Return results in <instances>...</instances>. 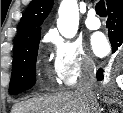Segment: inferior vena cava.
Wrapping results in <instances>:
<instances>
[{"mask_svg":"<svg viewBox=\"0 0 123 113\" xmlns=\"http://www.w3.org/2000/svg\"><path fill=\"white\" fill-rule=\"evenodd\" d=\"M96 69L95 65L89 62L83 69L78 83L76 85L75 92L81 96L90 111L88 113H97V101L93 92V86L95 83Z\"/></svg>","mask_w":123,"mask_h":113,"instance_id":"obj_1","label":"inferior vena cava"}]
</instances>
